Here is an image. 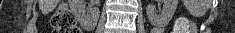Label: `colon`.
<instances>
[{
	"label": "colon",
	"mask_w": 235,
	"mask_h": 33,
	"mask_svg": "<svg viewBox=\"0 0 235 33\" xmlns=\"http://www.w3.org/2000/svg\"><path fill=\"white\" fill-rule=\"evenodd\" d=\"M51 23L54 33H80L76 19L71 10L65 6H60L52 16ZM173 33H192L193 25L186 19H179L174 27Z\"/></svg>",
	"instance_id": "colon-1"
}]
</instances>
